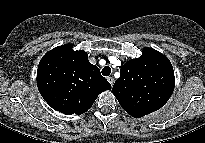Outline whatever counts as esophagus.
I'll return each mask as SVG.
<instances>
[{"label":"esophagus","instance_id":"obj_1","mask_svg":"<svg viewBox=\"0 0 205 143\" xmlns=\"http://www.w3.org/2000/svg\"><path fill=\"white\" fill-rule=\"evenodd\" d=\"M107 80L111 84V86L114 84V78L112 76L107 77Z\"/></svg>","mask_w":205,"mask_h":143}]
</instances>
